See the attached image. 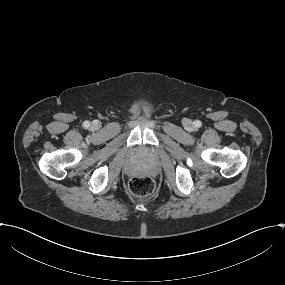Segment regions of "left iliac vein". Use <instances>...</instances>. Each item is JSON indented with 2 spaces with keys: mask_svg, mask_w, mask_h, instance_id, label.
Wrapping results in <instances>:
<instances>
[{
  "mask_svg": "<svg viewBox=\"0 0 285 285\" xmlns=\"http://www.w3.org/2000/svg\"><path fill=\"white\" fill-rule=\"evenodd\" d=\"M184 125H185L186 129H192L193 128L192 122L189 121L188 119L185 120Z\"/></svg>",
  "mask_w": 285,
  "mask_h": 285,
  "instance_id": "1",
  "label": "left iliac vein"
}]
</instances>
